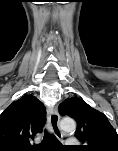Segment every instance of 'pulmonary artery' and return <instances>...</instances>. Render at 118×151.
<instances>
[{
    "label": "pulmonary artery",
    "instance_id": "e3ab8cb5",
    "mask_svg": "<svg viewBox=\"0 0 118 151\" xmlns=\"http://www.w3.org/2000/svg\"><path fill=\"white\" fill-rule=\"evenodd\" d=\"M67 144H69V145L77 144V140H76V139H73V138L68 139V140H67Z\"/></svg>",
    "mask_w": 118,
    "mask_h": 151
}]
</instances>
